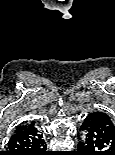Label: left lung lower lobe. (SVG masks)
<instances>
[{
    "label": "left lung lower lobe",
    "mask_w": 115,
    "mask_h": 155,
    "mask_svg": "<svg viewBox=\"0 0 115 155\" xmlns=\"http://www.w3.org/2000/svg\"><path fill=\"white\" fill-rule=\"evenodd\" d=\"M77 155H115V126L103 112H93L83 121Z\"/></svg>",
    "instance_id": "left-lung-lower-lobe-1"
}]
</instances>
